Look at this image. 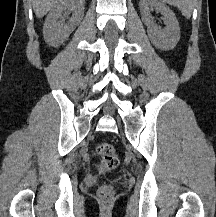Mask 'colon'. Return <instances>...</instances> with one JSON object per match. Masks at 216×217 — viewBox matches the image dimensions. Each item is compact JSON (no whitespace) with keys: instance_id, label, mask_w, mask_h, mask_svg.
<instances>
[{"instance_id":"obj_1","label":"colon","mask_w":216,"mask_h":217,"mask_svg":"<svg viewBox=\"0 0 216 217\" xmlns=\"http://www.w3.org/2000/svg\"><path fill=\"white\" fill-rule=\"evenodd\" d=\"M96 153L100 158L101 165L106 170H113L119 164L117 150L113 144L102 142L97 145ZM98 198L102 203H110L113 200L114 189L111 185H102L97 192Z\"/></svg>"}]
</instances>
